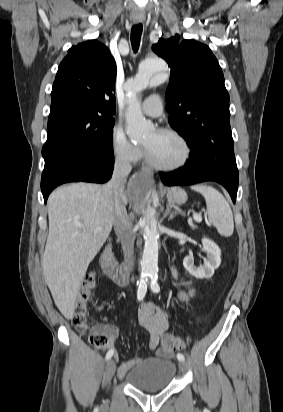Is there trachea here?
Listing matches in <instances>:
<instances>
[{"instance_id": "trachea-1", "label": "trachea", "mask_w": 283, "mask_h": 412, "mask_svg": "<svg viewBox=\"0 0 283 412\" xmlns=\"http://www.w3.org/2000/svg\"><path fill=\"white\" fill-rule=\"evenodd\" d=\"M142 30V24L134 25L131 29V45L134 52L139 49Z\"/></svg>"}]
</instances>
